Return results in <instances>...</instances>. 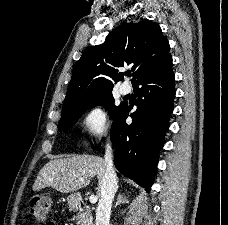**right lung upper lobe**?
Listing matches in <instances>:
<instances>
[{
    "label": "right lung upper lobe",
    "instance_id": "1",
    "mask_svg": "<svg viewBox=\"0 0 228 225\" xmlns=\"http://www.w3.org/2000/svg\"><path fill=\"white\" fill-rule=\"evenodd\" d=\"M169 42L157 23L123 22L101 45L86 49L76 62L63 107L111 92L123 79L119 68L132 65L133 86L169 55Z\"/></svg>",
    "mask_w": 228,
    "mask_h": 225
}]
</instances>
